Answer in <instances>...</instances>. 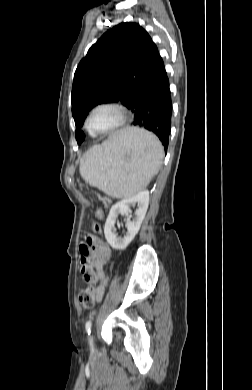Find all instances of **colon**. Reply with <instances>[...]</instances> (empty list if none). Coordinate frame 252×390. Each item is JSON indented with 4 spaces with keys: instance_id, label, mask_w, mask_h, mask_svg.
<instances>
[{
    "instance_id": "1",
    "label": "colon",
    "mask_w": 252,
    "mask_h": 390,
    "mask_svg": "<svg viewBox=\"0 0 252 390\" xmlns=\"http://www.w3.org/2000/svg\"><path fill=\"white\" fill-rule=\"evenodd\" d=\"M102 217H103V212L100 209H97L95 211V220L96 221L93 223V230L96 233L101 232V227L97 221L101 220ZM81 272L86 280L90 277L91 273L86 267L85 259L82 261ZM79 301H80V304L84 308L92 307L95 303V292H94L93 288L88 286V287L82 289L79 293Z\"/></svg>"
}]
</instances>
